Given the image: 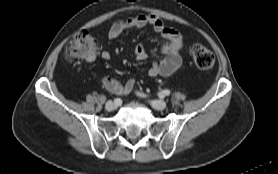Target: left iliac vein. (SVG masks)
<instances>
[{
  "mask_svg": "<svg viewBox=\"0 0 278 174\" xmlns=\"http://www.w3.org/2000/svg\"><path fill=\"white\" fill-rule=\"evenodd\" d=\"M151 106L156 110H163L166 108V102L163 100H153L150 102Z\"/></svg>",
  "mask_w": 278,
  "mask_h": 174,
  "instance_id": "obj_1",
  "label": "left iliac vein"
}]
</instances>
